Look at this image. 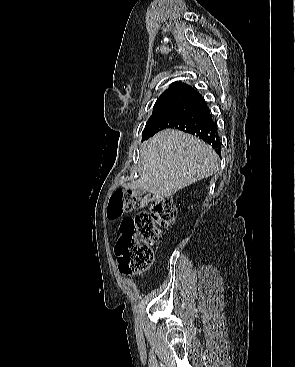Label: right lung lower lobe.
Instances as JSON below:
<instances>
[{"label":"right lung lower lobe","instance_id":"obj_1","mask_svg":"<svg viewBox=\"0 0 295 367\" xmlns=\"http://www.w3.org/2000/svg\"><path fill=\"white\" fill-rule=\"evenodd\" d=\"M167 128H175L195 135L210 144L218 155H221V142L217 126L212 120L210 110L199 92L195 91L144 138L147 139L155 133Z\"/></svg>","mask_w":295,"mask_h":367}]
</instances>
